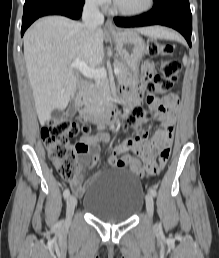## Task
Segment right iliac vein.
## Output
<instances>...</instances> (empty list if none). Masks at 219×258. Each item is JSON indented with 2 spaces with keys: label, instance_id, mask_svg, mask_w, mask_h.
Here are the masks:
<instances>
[{
  "label": "right iliac vein",
  "instance_id": "obj_1",
  "mask_svg": "<svg viewBox=\"0 0 219 258\" xmlns=\"http://www.w3.org/2000/svg\"><path fill=\"white\" fill-rule=\"evenodd\" d=\"M77 204V199L74 195H70L67 197L66 201V215H67V220L70 221L72 218V215L74 213V209Z\"/></svg>",
  "mask_w": 219,
  "mask_h": 258
}]
</instances>
